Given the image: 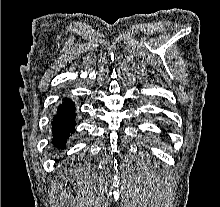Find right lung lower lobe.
Here are the masks:
<instances>
[{
  "instance_id": "right-lung-lower-lobe-1",
  "label": "right lung lower lobe",
  "mask_w": 220,
  "mask_h": 207,
  "mask_svg": "<svg viewBox=\"0 0 220 207\" xmlns=\"http://www.w3.org/2000/svg\"><path fill=\"white\" fill-rule=\"evenodd\" d=\"M75 116V104L65 98L52 122L53 144L56 147H64L68 137L74 132Z\"/></svg>"
}]
</instances>
